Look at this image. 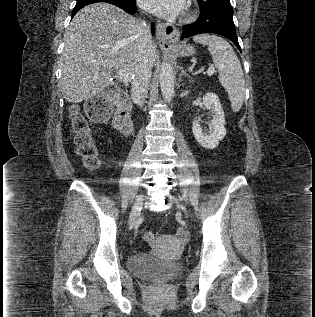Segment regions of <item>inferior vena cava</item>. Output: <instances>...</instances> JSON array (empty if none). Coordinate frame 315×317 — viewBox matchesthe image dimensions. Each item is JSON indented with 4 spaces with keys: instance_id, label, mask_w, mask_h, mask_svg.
<instances>
[{
    "instance_id": "obj_1",
    "label": "inferior vena cava",
    "mask_w": 315,
    "mask_h": 317,
    "mask_svg": "<svg viewBox=\"0 0 315 317\" xmlns=\"http://www.w3.org/2000/svg\"><path fill=\"white\" fill-rule=\"evenodd\" d=\"M142 39L139 45L138 66L131 78L132 99L142 106L148 93L151 66L148 59V44L152 40L150 26L141 22Z\"/></svg>"
}]
</instances>
